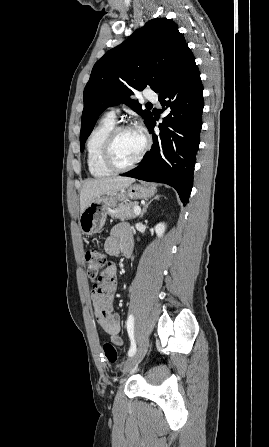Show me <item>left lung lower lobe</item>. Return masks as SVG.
<instances>
[{
  "mask_svg": "<svg viewBox=\"0 0 269 447\" xmlns=\"http://www.w3.org/2000/svg\"><path fill=\"white\" fill-rule=\"evenodd\" d=\"M202 93L200 72L188 48L159 93L163 110L169 112L159 124L160 134L154 133L156 121L152 116L147 125L153 136L152 149L141 165L121 176L168 184L176 189L181 202H189L202 128Z\"/></svg>",
  "mask_w": 269,
  "mask_h": 447,
  "instance_id": "left-lung-lower-lobe-1",
  "label": "left lung lower lobe"
}]
</instances>
